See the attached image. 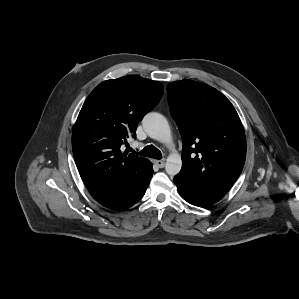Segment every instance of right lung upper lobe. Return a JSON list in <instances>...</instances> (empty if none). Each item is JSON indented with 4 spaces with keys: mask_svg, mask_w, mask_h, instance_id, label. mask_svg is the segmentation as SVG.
I'll list each match as a JSON object with an SVG mask.
<instances>
[{
    "mask_svg": "<svg viewBox=\"0 0 299 299\" xmlns=\"http://www.w3.org/2000/svg\"><path fill=\"white\" fill-rule=\"evenodd\" d=\"M163 95V85L137 76L100 83L87 97L72 134V149L88 189L104 190L129 181L141 182L151 162L125 154L121 145Z\"/></svg>",
    "mask_w": 299,
    "mask_h": 299,
    "instance_id": "1",
    "label": "right lung upper lobe"
}]
</instances>
